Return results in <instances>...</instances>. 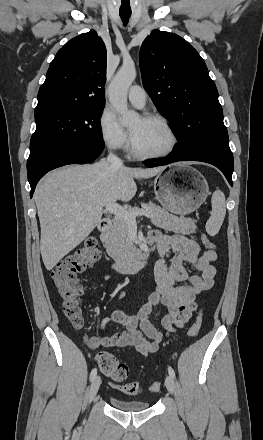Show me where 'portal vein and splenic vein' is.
Returning a JSON list of instances; mask_svg holds the SVG:
<instances>
[{"mask_svg":"<svg viewBox=\"0 0 263 440\" xmlns=\"http://www.w3.org/2000/svg\"><path fill=\"white\" fill-rule=\"evenodd\" d=\"M105 210L110 212V213H112V214H114L115 216L124 218L125 220L128 221L130 227H132V228H135L137 226L136 220H135L137 215H144V216H146L148 218H152L153 217V214L151 212H149V211L138 210L136 212H130L127 209H125L122 206H120L119 204H117V203L107 204L105 206Z\"/></svg>","mask_w":263,"mask_h":440,"instance_id":"portal-vein-and-splenic-vein-1","label":"portal vein and splenic vein"}]
</instances>
